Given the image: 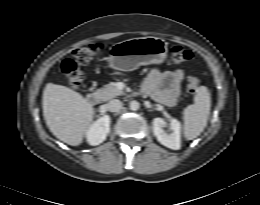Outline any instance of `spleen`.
<instances>
[{
  "label": "spleen",
  "instance_id": "obj_1",
  "mask_svg": "<svg viewBox=\"0 0 260 205\" xmlns=\"http://www.w3.org/2000/svg\"><path fill=\"white\" fill-rule=\"evenodd\" d=\"M211 97L208 88L200 86L196 89L194 103L183 111L184 135L187 140L199 136L207 126L210 114Z\"/></svg>",
  "mask_w": 260,
  "mask_h": 205
}]
</instances>
